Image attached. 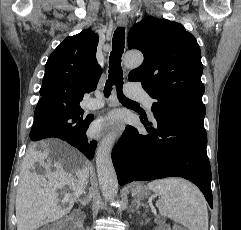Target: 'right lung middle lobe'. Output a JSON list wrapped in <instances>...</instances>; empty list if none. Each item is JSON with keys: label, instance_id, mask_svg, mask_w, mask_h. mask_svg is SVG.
<instances>
[{"label": "right lung middle lobe", "instance_id": "1", "mask_svg": "<svg viewBox=\"0 0 241 230\" xmlns=\"http://www.w3.org/2000/svg\"><path fill=\"white\" fill-rule=\"evenodd\" d=\"M80 106L75 107H55L35 115L34 122L41 126L43 132L52 131L73 133L80 131L89 121L85 117ZM46 135L42 133L30 134L33 141L44 139Z\"/></svg>", "mask_w": 241, "mask_h": 230}]
</instances>
